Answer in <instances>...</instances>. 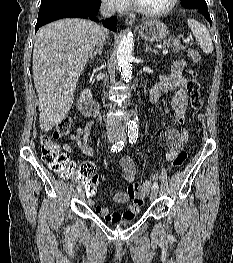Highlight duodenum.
Listing matches in <instances>:
<instances>
[{
	"label": "duodenum",
	"instance_id": "410a0bca",
	"mask_svg": "<svg viewBox=\"0 0 233 263\" xmlns=\"http://www.w3.org/2000/svg\"><path fill=\"white\" fill-rule=\"evenodd\" d=\"M80 111L86 116H96L99 113L98 103L94 100L89 88L85 87L79 96Z\"/></svg>",
	"mask_w": 233,
	"mask_h": 263
}]
</instances>
